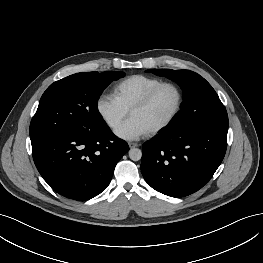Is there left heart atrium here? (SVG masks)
<instances>
[{
	"instance_id": "39dd6f15",
	"label": "left heart atrium",
	"mask_w": 263,
	"mask_h": 263,
	"mask_svg": "<svg viewBox=\"0 0 263 263\" xmlns=\"http://www.w3.org/2000/svg\"><path fill=\"white\" fill-rule=\"evenodd\" d=\"M149 133L147 127L137 118L130 117L121 124L115 134L125 140H136Z\"/></svg>"
}]
</instances>
